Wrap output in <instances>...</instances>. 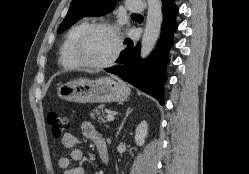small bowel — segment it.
I'll return each instance as SVG.
<instances>
[{"label": "small bowel", "mask_w": 249, "mask_h": 174, "mask_svg": "<svg viewBox=\"0 0 249 174\" xmlns=\"http://www.w3.org/2000/svg\"><path fill=\"white\" fill-rule=\"evenodd\" d=\"M81 130L85 138L94 142L100 161L107 164L109 155L106 143L97 133L94 126L90 122H84ZM62 144L66 148H72L69 156H61L58 160V165L64 170V174H86V170L83 167H70L71 161H80L84 156L83 151L76 147L79 144V139L72 133H66L62 137Z\"/></svg>", "instance_id": "1"}]
</instances>
